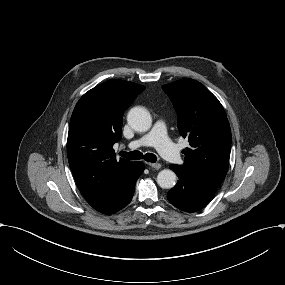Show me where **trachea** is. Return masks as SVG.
I'll use <instances>...</instances> for the list:
<instances>
[{
    "label": "trachea",
    "instance_id": "1",
    "mask_svg": "<svg viewBox=\"0 0 285 285\" xmlns=\"http://www.w3.org/2000/svg\"><path fill=\"white\" fill-rule=\"evenodd\" d=\"M120 155L126 159H130V160H140V159H144L145 161L151 162V163H155L157 161V156L152 154V153H147L145 155H143L140 151H130V152H120Z\"/></svg>",
    "mask_w": 285,
    "mask_h": 285
}]
</instances>
